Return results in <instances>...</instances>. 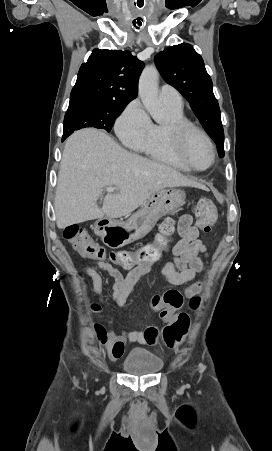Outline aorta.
<instances>
[{"label": "aorta", "mask_w": 272, "mask_h": 451, "mask_svg": "<svg viewBox=\"0 0 272 451\" xmlns=\"http://www.w3.org/2000/svg\"><path fill=\"white\" fill-rule=\"evenodd\" d=\"M159 72L152 64L144 68L139 80V98L147 112L152 116L157 124H162L168 120L166 114H162L161 104L158 98Z\"/></svg>", "instance_id": "aorta-1"}]
</instances>
